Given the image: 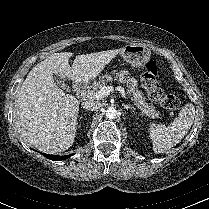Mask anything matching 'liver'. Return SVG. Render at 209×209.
I'll use <instances>...</instances> for the list:
<instances>
[{"instance_id": "obj_1", "label": "liver", "mask_w": 209, "mask_h": 209, "mask_svg": "<svg viewBox=\"0 0 209 209\" xmlns=\"http://www.w3.org/2000/svg\"><path fill=\"white\" fill-rule=\"evenodd\" d=\"M122 48L77 55L51 54L28 73L15 96L14 122L25 142L40 151L55 153L74 143L79 101L59 88L53 75L85 83L101 73Z\"/></svg>"}]
</instances>
